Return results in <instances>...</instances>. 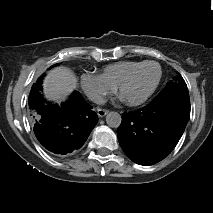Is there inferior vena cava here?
<instances>
[{
	"label": "inferior vena cava",
	"instance_id": "obj_1",
	"mask_svg": "<svg viewBox=\"0 0 213 213\" xmlns=\"http://www.w3.org/2000/svg\"><path fill=\"white\" fill-rule=\"evenodd\" d=\"M89 99L98 104V105H102V104H105L106 100L104 99L103 96L99 95V94H92L89 96Z\"/></svg>",
	"mask_w": 213,
	"mask_h": 213
}]
</instances>
